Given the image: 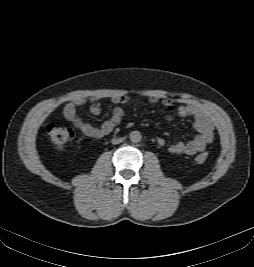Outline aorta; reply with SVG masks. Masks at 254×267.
<instances>
[{"label":"aorta","mask_w":254,"mask_h":267,"mask_svg":"<svg viewBox=\"0 0 254 267\" xmlns=\"http://www.w3.org/2000/svg\"><path fill=\"white\" fill-rule=\"evenodd\" d=\"M142 139V135L139 131H132L130 133V141L133 142V143H138L140 142Z\"/></svg>","instance_id":"obj_1"}]
</instances>
